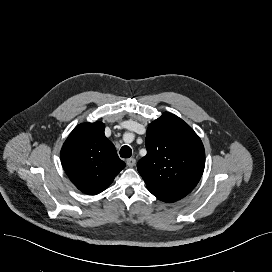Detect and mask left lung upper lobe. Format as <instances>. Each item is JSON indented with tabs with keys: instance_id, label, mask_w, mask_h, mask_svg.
I'll list each match as a JSON object with an SVG mask.
<instances>
[{
	"instance_id": "left-lung-upper-lobe-1",
	"label": "left lung upper lobe",
	"mask_w": 272,
	"mask_h": 272,
	"mask_svg": "<svg viewBox=\"0 0 272 272\" xmlns=\"http://www.w3.org/2000/svg\"><path fill=\"white\" fill-rule=\"evenodd\" d=\"M147 155L137 168L148 190L185 197L199 182L205 151L194 130L176 115L165 112L151 122L146 135Z\"/></svg>"
}]
</instances>
